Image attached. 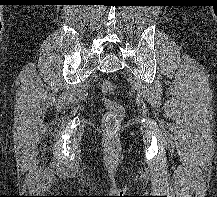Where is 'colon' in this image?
Segmentation results:
<instances>
[{
	"label": "colon",
	"mask_w": 217,
	"mask_h": 197,
	"mask_svg": "<svg viewBox=\"0 0 217 197\" xmlns=\"http://www.w3.org/2000/svg\"><path fill=\"white\" fill-rule=\"evenodd\" d=\"M112 90L113 85L111 81L105 80L102 82L101 92L103 94L104 104L108 110L103 120V130L108 137H112L118 132L124 116L122 105L110 97Z\"/></svg>",
	"instance_id": "1"
}]
</instances>
